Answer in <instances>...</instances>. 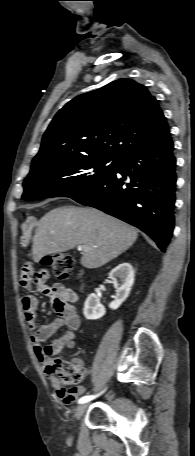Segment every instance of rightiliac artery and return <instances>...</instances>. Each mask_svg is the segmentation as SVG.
<instances>
[{"mask_svg":"<svg viewBox=\"0 0 195 456\" xmlns=\"http://www.w3.org/2000/svg\"><path fill=\"white\" fill-rule=\"evenodd\" d=\"M103 393V392H102ZM101 394V393H100ZM100 394L98 395H88V396H83L79 399L78 403L80 404H83V403H86V402H89L91 401L92 399L96 398L97 396H99Z\"/></svg>","mask_w":195,"mask_h":456,"instance_id":"82829eb1","label":"right iliac artery"}]
</instances>
